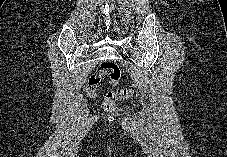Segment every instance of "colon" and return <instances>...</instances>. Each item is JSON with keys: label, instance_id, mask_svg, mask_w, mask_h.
Masks as SVG:
<instances>
[{"label": "colon", "instance_id": "1", "mask_svg": "<svg viewBox=\"0 0 227 157\" xmlns=\"http://www.w3.org/2000/svg\"><path fill=\"white\" fill-rule=\"evenodd\" d=\"M105 75L109 78L112 85H116L120 79L121 72L119 66L111 61L101 62L96 72L90 76L87 82V90L90 96H93L101 77ZM133 97V90L129 88H119L106 93L103 99V107L106 111L112 112L116 108V102L119 100L130 99Z\"/></svg>", "mask_w": 227, "mask_h": 157}]
</instances>
